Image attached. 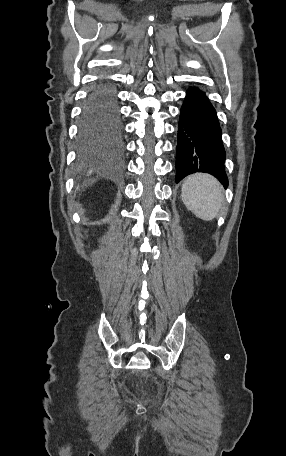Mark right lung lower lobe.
Instances as JSON below:
<instances>
[{
	"label": "right lung lower lobe",
	"mask_w": 286,
	"mask_h": 456,
	"mask_svg": "<svg viewBox=\"0 0 286 456\" xmlns=\"http://www.w3.org/2000/svg\"><path fill=\"white\" fill-rule=\"evenodd\" d=\"M87 120L98 121L107 127L110 125L118 126L116 133L110 130L105 133L118 135L121 132L122 124L116 90L106 78L100 79L89 93L82 113V122Z\"/></svg>",
	"instance_id": "right-lung-lower-lobe-1"
}]
</instances>
